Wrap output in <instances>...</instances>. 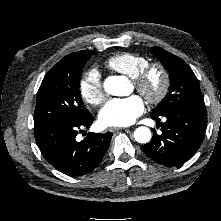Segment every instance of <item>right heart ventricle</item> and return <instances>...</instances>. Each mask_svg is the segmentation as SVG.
Segmentation results:
<instances>
[{
	"label": "right heart ventricle",
	"mask_w": 221,
	"mask_h": 221,
	"mask_svg": "<svg viewBox=\"0 0 221 221\" xmlns=\"http://www.w3.org/2000/svg\"><path fill=\"white\" fill-rule=\"evenodd\" d=\"M148 63V58L143 55L124 52L108 58L105 66L112 71L124 74L133 79Z\"/></svg>",
	"instance_id": "e07e8e85"
}]
</instances>
